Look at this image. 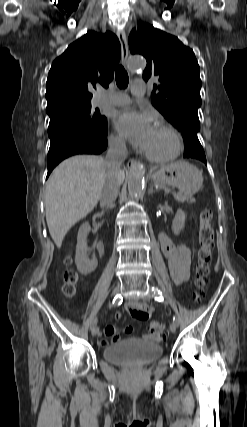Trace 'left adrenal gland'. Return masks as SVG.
<instances>
[{
	"label": "left adrenal gland",
	"instance_id": "1",
	"mask_svg": "<svg viewBox=\"0 0 247 427\" xmlns=\"http://www.w3.org/2000/svg\"><path fill=\"white\" fill-rule=\"evenodd\" d=\"M153 192H155V190L153 189V186H150V189L148 191V194H152Z\"/></svg>",
	"mask_w": 247,
	"mask_h": 427
}]
</instances>
